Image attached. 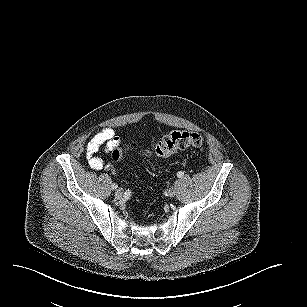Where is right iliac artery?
I'll return each mask as SVG.
<instances>
[{
  "instance_id": "obj_1",
  "label": "right iliac artery",
  "mask_w": 307,
  "mask_h": 307,
  "mask_svg": "<svg viewBox=\"0 0 307 307\" xmlns=\"http://www.w3.org/2000/svg\"><path fill=\"white\" fill-rule=\"evenodd\" d=\"M111 187H112V189H117V188H118V185L115 184V183H113V184L111 185Z\"/></svg>"
}]
</instances>
